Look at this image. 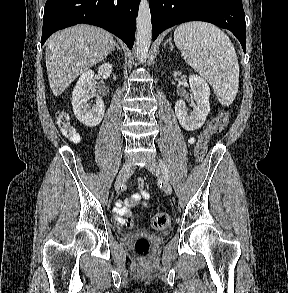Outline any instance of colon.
I'll return each mask as SVG.
<instances>
[{
    "label": "colon",
    "mask_w": 288,
    "mask_h": 293,
    "mask_svg": "<svg viewBox=\"0 0 288 293\" xmlns=\"http://www.w3.org/2000/svg\"><path fill=\"white\" fill-rule=\"evenodd\" d=\"M230 115L228 112H221L213 117L206 129L199 135L197 143L194 149L195 159L200 162L204 159L207 146L210 138L219 132H221L229 123ZM58 124L63 134L70 140L77 142L79 141V134L76 132L74 127L71 125L70 118L67 113L61 112L58 117ZM122 222L128 227L133 225V217L131 213H125L122 215ZM171 223V217L168 213H157L152 218V225L156 229H165ZM150 250V242L146 238H139L134 243V252L140 257L144 258L148 255Z\"/></svg>",
    "instance_id": "colon-1"
}]
</instances>
